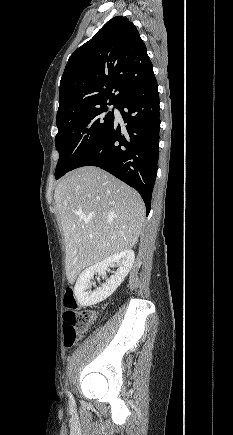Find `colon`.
Wrapping results in <instances>:
<instances>
[{"mask_svg": "<svg viewBox=\"0 0 233 435\" xmlns=\"http://www.w3.org/2000/svg\"><path fill=\"white\" fill-rule=\"evenodd\" d=\"M64 303L69 309L64 316V342L66 348L70 349L87 330L95 317V313L90 310L77 309L73 284L66 287Z\"/></svg>", "mask_w": 233, "mask_h": 435, "instance_id": "obj_1", "label": "colon"}]
</instances>
